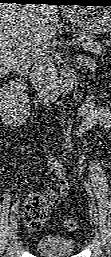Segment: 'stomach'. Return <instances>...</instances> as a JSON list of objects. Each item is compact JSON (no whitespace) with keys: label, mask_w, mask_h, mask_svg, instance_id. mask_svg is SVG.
I'll return each instance as SVG.
<instances>
[{"label":"stomach","mask_w":111,"mask_h":257,"mask_svg":"<svg viewBox=\"0 0 111 257\" xmlns=\"http://www.w3.org/2000/svg\"><path fill=\"white\" fill-rule=\"evenodd\" d=\"M65 15L73 24L93 34H103L111 28V12L104 7L75 6Z\"/></svg>","instance_id":"obj_1"}]
</instances>
